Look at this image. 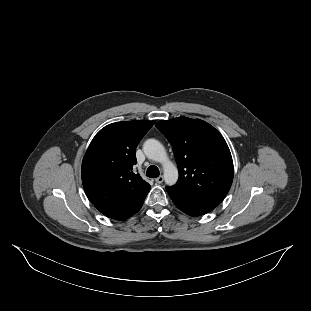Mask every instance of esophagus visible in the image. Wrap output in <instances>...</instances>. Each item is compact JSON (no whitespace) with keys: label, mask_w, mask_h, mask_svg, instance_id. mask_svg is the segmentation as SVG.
<instances>
[{"label":"esophagus","mask_w":311,"mask_h":311,"mask_svg":"<svg viewBox=\"0 0 311 311\" xmlns=\"http://www.w3.org/2000/svg\"><path fill=\"white\" fill-rule=\"evenodd\" d=\"M157 183H162L163 182V176L161 175V176H159L158 178H156V180H155Z\"/></svg>","instance_id":"obj_1"}]
</instances>
